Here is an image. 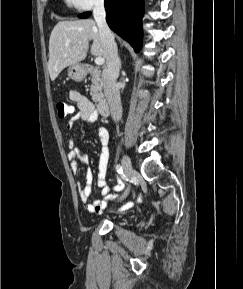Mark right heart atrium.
Wrapping results in <instances>:
<instances>
[{
  "instance_id": "obj_1",
  "label": "right heart atrium",
  "mask_w": 243,
  "mask_h": 289,
  "mask_svg": "<svg viewBox=\"0 0 243 289\" xmlns=\"http://www.w3.org/2000/svg\"><path fill=\"white\" fill-rule=\"evenodd\" d=\"M67 5L79 10L87 11L104 4L105 0H65Z\"/></svg>"
}]
</instances>
